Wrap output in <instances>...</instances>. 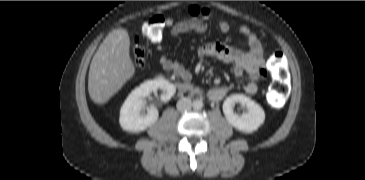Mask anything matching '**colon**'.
<instances>
[{"mask_svg": "<svg viewBox=\"0 0 365 180\" xmlns=\"http://www.w3.org/2000/svg\"><path fill=\"white\" fill-rule=\"evenodd\" d=\"M188 13L194 17L208 18L207 9L191 7ZM166 20L161 15L148 19L143 26V35L151 42H159L162 39ZM132 59L136 67L141 68L145 63V49L141 42L136 41L132 49ZM269 69L272 75V83L267 92V101L271 108L279 109L286 101L289 91L287 82L288 71L286 60L282 53H274L269 60Z\"/></svg>", "mask_w": 365, "mask_h": 180, "instance_id": "obj_1", "label": "colon"}]
</instances>
